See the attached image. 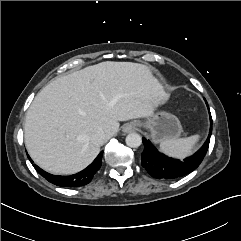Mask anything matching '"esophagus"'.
Instances as JSON below:
<instances>
[{
    "instance_id": "obj_1",
    "label": "esophagus",
    "mask_w": 241,
    "mask_h": 241,
    "mask_svg": "<svg viewBox=\"0 0 241 241\" xmlns=\"http://www.w3.org/2000/svg\"><path fill=\"white\" fill-rule=\"evenodd\" d=\"M123 132L130 133L136 130V124L133 122L127 123L123 126Z\"/></svg>"
}]
</instances>
